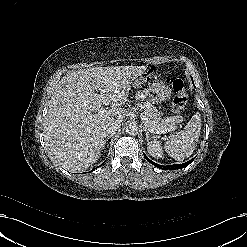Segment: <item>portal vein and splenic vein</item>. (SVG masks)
<instances>
[{"mask_svg": "<svg viewBox=\"0 0 247 247\" xmlns=\"http://www.w3.org/2000/svg\"><path fill=\"white\" fill-rule=\"evenodd\" d=\"M107 113V110L101 108L98 112V115H105ZM94 116L96 115H89V119H92ZM142 120L144 121L145 125L147 126L148 125V118L145 116V115H142ZM175 130V127H171V128H168V129H163L160 133H166V132H169V131H173Z\"/></svg>", "mask_w": 247, "mask_h": 247, "instance_id": "obj_1", "label": "portal vein and splenic vein"}]
</instances>
